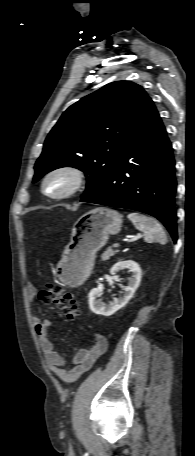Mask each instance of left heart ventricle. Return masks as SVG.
<instances>
[{"label":"left heart ventricle","mask_w":195,"mask_h":456,"mask_svg":"<svg viewBox=\"0 0 195 456\" xmlns=\"http://www.w3.org/2000/svg\"><path fill=\"white\" fill-rule=\"evenodd\" d=\"M71 184V178L68 175L59 174L51 177L46 184L48 192L58 194L65 191Z\"/></svg>","instance_id":"b2bd125f"}]
</instances>
